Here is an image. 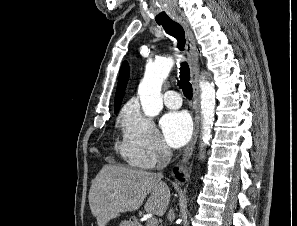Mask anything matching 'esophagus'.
Wrapping results in <instances>:
<instances>
[{
  "mask_svg": "<svg viewBox=\"0 0 297 226\" xmlns=\"http://www.w3.org/2000/svg\"><path fill=\"white\" fill-rule=\"evenodd\" d=\"M176 21L181 24L185 31L186 36V54L188 57L190 70H191V80L193 85V109H194V131L193 136L187 145L181 164L185 165L192 156L195 143L197 141L199 132V87H198V77H199V62L198 53L196 49V43L192 31L190 30L188 24L182 18H176Z\"/></svg>",
  "mask_w": 297,
  "mask_h": 226,
  "instance_id": "34e87169",
  "label": "esophagus"
}]
</instances>
